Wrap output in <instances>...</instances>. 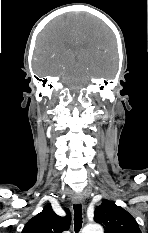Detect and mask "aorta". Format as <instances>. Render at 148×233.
Wrapping results in <instances>:
<instances>
[{
  "label": "aorta",
  "mask_w": 148,
  "mask_h": 233,
  "mask_svg": "<svg viewBox=\"0 0 148 233\" xmlns=\"http://www.w3.org/2000/svg\"><path fill=\"white\" fill-rule=\"evenodd\" d=\"M82 233H104V230L101 225L95 223L86 225L83 228Z\"/></svg>",
  "instance_id": "aorta-1"
}]
</instances>
